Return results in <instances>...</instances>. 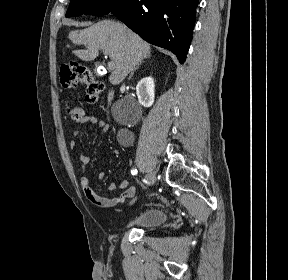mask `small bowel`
I'll list each match as a JSON object with an SVG mask.
<instances>
[{
	"mask_svg": "<svg viewBox=\"0 0 288 280\" xmlns=\"http://www.w3.org/2000/svg\"><path fill=\"white\" fill-rule=\"evenodd\" d=\"M82 123H89L97 128L101 129L103 132L109 130V126L102 120L96 118L95 116H86L81 121ZM82 132L81 129H76L72 132V136L76 137ZM70 148L72 150H77V142L72 140L70 142ZM81 168L84 171L87 164L89 163V157L81 152L78 153ZM105 172L100 171L97 175L99 180L105 179ZM81 191L84 197L93 205L101 208H114L125 202L133 203L136 199V187L129 185L125 179H120L118 182L112 181L108 186V191L112 192L119 188L122 193L118 197H107L97 193L91 186L89 179L86 176H81L79 180Z\"/></svg>",
	"mask_w": 288,
	"mask_h": 280,
	"instance_id": "1",
	"label": "small bowel"
}]
</instances>
